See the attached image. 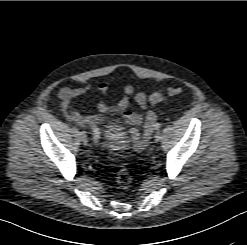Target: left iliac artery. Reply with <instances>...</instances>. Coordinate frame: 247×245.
Returning a JSON list of instances; mask_svg holds the SVG:
<instances>
[{
	"label": "left iliac artery",
	"instance_id": "1",
	"mask_svg": "<svg viewBox=\"0 0 247 245\" xmlns=\"http://www.w3.org/2000/svg\"><path fill=\"white\" fill-rule=\"evenodd\" d=\"M160 127H161V125H160L159 123H155V124H154V128H155V129H160Z\"/></svg>",
	"mask_w": 247,
	"mask_h": 245
}]
</instances>
